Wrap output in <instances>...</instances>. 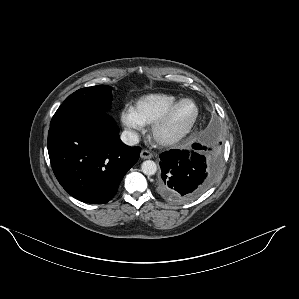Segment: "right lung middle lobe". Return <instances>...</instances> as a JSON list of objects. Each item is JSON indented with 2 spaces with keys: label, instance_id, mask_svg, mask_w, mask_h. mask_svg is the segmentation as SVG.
<instances>
[{
  "label": "right lung middle lobe",
  "instance_id": "right-lung-middle-lobe-1",
  "mask_svg": "<svg viewBox=\"0 0 299 299\" xmlns=\"http://www.w3.org/2000/svg\"><path fill=\"white\" fill-rule=\"evenodd\" d=\"M111 87L97 85L82 88L66 98L54 114L50 125L81 113H105L111 105Z\"/></svg>",
  "mask_w": 299,
  "mask_h": 299
}]
</instances>
